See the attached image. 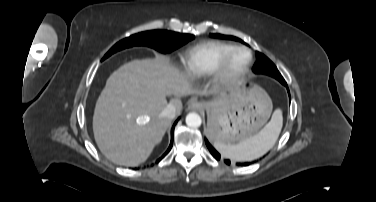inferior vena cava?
I'll return each mask as SVG.
<instances>
[{"label": "inferior vena cava", "mask_w": 376, "mask_h": 202, "mask_svg": "<svg viewBox=\"0 0 376 202\" xmlns=\"http://www.w3.org/2000/svg\"><path fill=\"white\" fill-rule=\"evenodd\" d=\"M160 115L163 118L172 120L176 115V107L173 104H168Z\"/></svg>", "instance_id": "1"}]
</instances>
